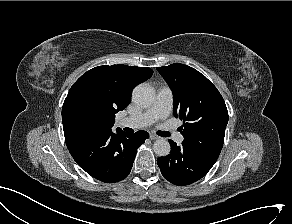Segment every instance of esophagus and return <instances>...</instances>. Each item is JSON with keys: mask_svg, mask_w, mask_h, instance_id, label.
<instances>
[{"mask_svg": "<svg viewBox=\"0 0 292 224\" xmlns=\"http://www.w3.org/2000/svg\"><path fill=\"white\" fill-rule=\"evenodd\" d=\"M150 139L151 140H157V139H160V137L158 135L154 134V133H151L150 134Z\"/></svg>", "mask_w": 292, "mask_h": 224, "instance_id": "esophagus-1", "label": "esophagus"}]
</instances>
